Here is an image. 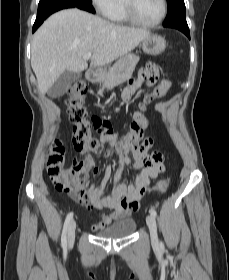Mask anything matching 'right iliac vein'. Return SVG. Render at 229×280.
Masks as SVG:
<instances>
[{
	"label": "right iliac vein",
	"mask_w": 229,
	"mask_h": 280,
	"mask_svg": "<svg viewBox=\"0 0 229 280\" xmlns=\"http://www.w3.org/2000/svg\"><path fill=\"white\" fill-rule=\"evenodd\" d=\"M75 230H76V222L75 221H71V223L69 224L68 233H67L69 245H72L74 243V240H75Z\"/></svg>",
	"instance_id": "obj_1"
}]
</instances>
